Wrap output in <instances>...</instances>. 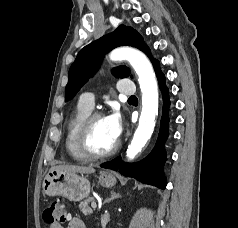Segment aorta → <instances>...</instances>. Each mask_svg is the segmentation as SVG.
<instances>
[{"label": "aorta", "instance_id": "obj_1", "mask_svg": "<svg viewBox=\"0 0 238 228\" xmlns=\"http://www.w3.org/2000/svg\"><path fill=\"white\" fill-rule=\"evenodd\" d=\"M112 61L126 60L136 74L142 92V110L138 127L126 151L130 160L142 150L150 139L158 113V85L149 59L141 51L131 47H121L113 50L110 55Z\"/></svg>", "mask_w": 238, "mask_h": 228}]
</instances>
